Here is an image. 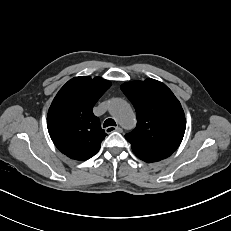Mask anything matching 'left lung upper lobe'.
<instances>
[{"mask_svg":"<svg viewBox=\"0 0 231 231\" xmlns=\"http://www.w3.org/2000/svg\"><path fill=\"white\" fill-rule=\"evenodd\" d=\"M122 91L135 107L136 128L125 135L141 160L160 161L179 147L186 128L184 111L172 91L148 78L122 84Z\"/></svg>","mask_w":231,"mask_h":231,"instance_id":"left-lung-upper-lobe-1","label":"left lung upper lobe"}]
</instances>
